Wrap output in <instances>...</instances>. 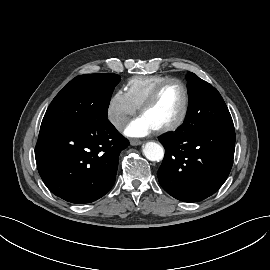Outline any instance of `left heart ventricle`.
Returning <instances> with one entry per match:
<instances>
[{
  "label": "left heart ventricle",
  "mask_w": 270,
  "mask_h": 270,
  "mask_svg": "<svg viewBox=\"0 0 270 270\" xmlns=\"http://www.w3.org/2000/svg\"><path fill=\"white\" fill-rule=\"evenodd\" d=\"M184 91L180 84L171 83L159 94L156 101L142 114L155 129L176 120L183 108Z\"/></svg>",
  "instance_id": "b2bd125f"
}]
</instances>
